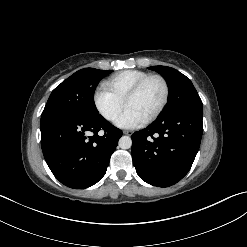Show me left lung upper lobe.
Masks as SVG:
<instances>
[{
    "label": "left lung upper lobe",
    "mask_w": 247,
    "mask_h": 247,
    "mask_svg": "<svg viewBox=\"0 0 247 247\" xmlns=\"http://www.w3.org/2000/svg\"><path fill=\"white\" fill-rule=\"evenodd\" d=\"M149 69L160 73L169 86L168 104L159 118L167 116L177 110L203 108L202 101L196 89L190 79L185 75L167 66H152L149 67Z\"/></svg>",
    "instance_id": "5c2ea615"
}]
</instances>
